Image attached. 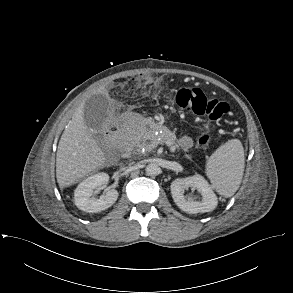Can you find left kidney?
Masks as SVG:
<instances>
[{
    "label": "left kidney",
    "instance_id": "1",
    "mask_svg": "<svg viewBox=\"0 0 293 293\" xmlns=\"http://www.w3.org/2000/svg\"><path fill=\"white\" fill-rule=\"evenodd\" d=\"M189 187H195L202 196V201H194L185 197L184 192ZM171 194L175 204L184 212L190 214L210 212L218 203V198L207 180L201 175L176 179L171 183Z\"/></svg>",
    "mask_w": 293,
    "mask_h": 293
}]
</instances>
